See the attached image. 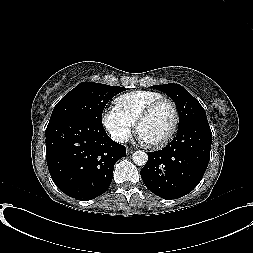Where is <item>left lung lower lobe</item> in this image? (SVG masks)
Wrapping results in <instances>:
<instances>
[{
  "label": "left lung lower lobe",
  "instance_id": "left-lung-lower-lobe-1",
  "mask_svg": "<svg viewBox=\"0 0 253 253\" xmlns=\"http://www.w3.org/2000/svg\"><path fill=\"white\" fill-rule=\"evenodd\" d=\"M212 132L208 121H191L162 150L148 152L141 169L146 187L164 199L190 193L202 179L210 159Z\"/></svg>",
  "mask_w": 253,
  "mask_h": 253
}]
</instances>
